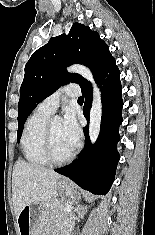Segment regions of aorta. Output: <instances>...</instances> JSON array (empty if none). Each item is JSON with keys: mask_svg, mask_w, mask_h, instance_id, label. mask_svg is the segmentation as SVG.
<instances>
[{"mask_svg": "<svg viewBox=\"0 0 155 235\" xmlns=\"http://www.w3.org/2000/svg\"><path fill=\"white\" fill-rule=\"evenodd\" d=\"M67 71L80 74L85 79L89 80L93 85V101L90 110L89 136L91 143L94 144L101 129L102 103L100 89L95 84L92 72L87 67L80 64H74L68 67Z\"/></svg>", "mask_w": 155, "mask_h": 235, "instance_id": "762f6f07", "label": "aorta"}]
</instances>
